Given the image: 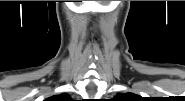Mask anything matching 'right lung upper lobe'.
Wrapping results in <instances>:
<instances>
[{
  "instance_id": "obj_1",
  "label": "right lung upper lobe",
  "mask_w": 185,
  "mask_h": 101,
  "mask_svg": "<svg viewBox=\"0 0 185 101\" xmlns=\"http://www.w3.org/2000/svg\"><path fill=\"white\" fill-rule=\"evenodd\" d=\"M48 100H50V101H70L71 97L68 94L63 93L60 95L52 96Z\"/></svg>"
}]
</instances>
